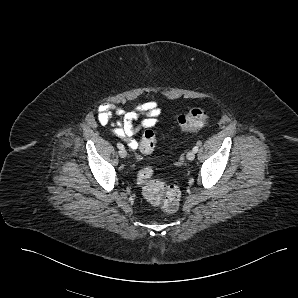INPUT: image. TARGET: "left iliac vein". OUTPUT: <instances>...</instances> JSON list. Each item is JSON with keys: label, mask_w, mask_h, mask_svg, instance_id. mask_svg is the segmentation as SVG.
Masks as SVG:
<instances>
[{"label": "left iliac vein", "mask_w": 298, "mask_h": 298, "mask_svg": "<svg viewBox=\"0 0 298 298\" xmlns=\"http://www.w3.org/2000/svg\"><path fill=\"white\" fill-rule=\"evenodd\" d=\"M186 158L189 160V161H192L194 160L195 158V152L194 151H189L186 155Z\"/></svg>", "instance_id": "4c4485c4"}]
</instances>
